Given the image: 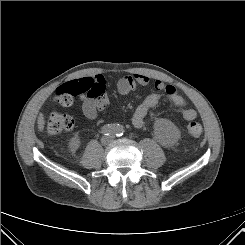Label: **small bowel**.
I'll use <instances>...</instances> for the list:
<instances>
[{
  "instance_id": "small-bowel-1",
  "label": "small bowel",
  "mask_w": 245,
  "mask_h": 245,
  "mask_svg": "<svg viewBox=\"0 0 245 245\" xmlns=\"http://www.w3.org/2000/svg\"><path fill=\"white\" fill-rule=\"evenodd\" d=\"M83 79L91 80L97 89V95L85 98L82 104L84 116L88 119H95L99 111L110 107L109 98L105 93V79L100 74ZM137 86H151L155 91L148 94L135 109L131 119L134 127L141 128L149 111L156 107L162 99L168 100L174 107L181 108L185 120L196 119L197 112L186 107V100L176 92L172 85H165L161 80L152 79L143 74L122 76L117 81V90L121 95L129 94Z\"/></svg>"
}]
</instances>
